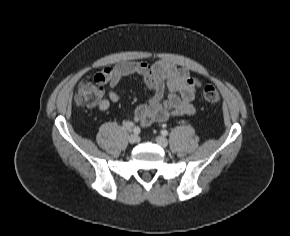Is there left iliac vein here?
Instances as JSON below:
<instances>
[{
	"instance_id": "1",
	"label": "left iliac vein",
	"mask_w": 290,
	"mask_h": 236,
	"mask_svg": "<svg viewBox=\"0 0 290 236\" xmlns=\"http://www.w3.org/2000/svg\"><path fill=\"white\" fill-rule=\"evenodd\" d=\"M156 142L158 145H160L163 148L168 146V140L164 136H157Z\"/></svg>"
}]
</instances>
